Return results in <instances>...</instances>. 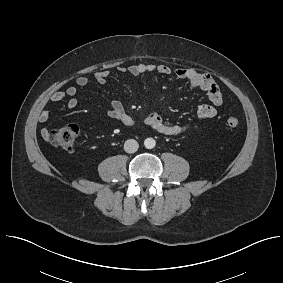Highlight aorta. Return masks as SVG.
I'll return each instance as SVG.
<instances>
[{
  "mask_svg": "<svg viewBox=\"0 0 283 283\" xmlns=\"http://www.w3.org/2000/svg\"><path fill=\"white\" fill-rule=\"evenodd\" d=\"M156 145V141L153 139V138H147L145 139L144 141V146L147 148V149H152L154 148Z\"/></svg>",
  "mask_w": 283,
  "mask_h": 283,
  "instance_id": "aorta-1",
  "label": "aorta"
}]
</instances>
